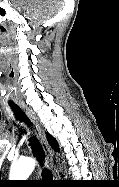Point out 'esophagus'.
<instances>
[{
    "instance_id": "esophagus-1",
    "label": "esophagus",
    "mask_w": 119,
    "mask_h": 187,
    "mask_svg": "<svg viewBox=\"0 0 119 187\" xmlns=\"http://www.w3.org/2000/svg\"><path fill=\"white\" fill-rule=\"evenodd\" d=\"M23 110L25 111L26 115L30 118V120L34 123L37 131H38V136L43 148V151L46 155V160L50 165V168L52 170L53 176L54 178H59V173L58 170L56 169V167L53 165V153L52 150L46 140L45 134L41 128V126L39 125V123L37 122L36 118L34 117L33 113L31 110H29L27 107H22Z\"/></svg>"
}]
</instances>
